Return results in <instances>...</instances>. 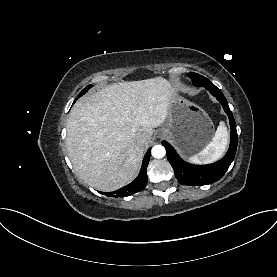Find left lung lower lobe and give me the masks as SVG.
Masks as SVG:
<instances>
[{"mask_svg":"<svg viewBox=\"0 0 277 277\" xmlns=\"http://www.w3.org/2000/svg\"><path fill=\"white\" fill-rule=\"evenodd\" d=\"M222 104L229 117L231 127L230 147L226 155L220 160L209 165H192L184 162L176 153L174 148L166 141H162L166 148L167 158L174 169L176 178L183 184L189 186H202L214 183L223 177L232 163L237 149L236 123L228 102L223 93L211 81L202 85Z\"/></svg>","mask_w":277,"mask_h":277,"instance_id":"1","label":"left lung lower lobe"}]
</instances>
